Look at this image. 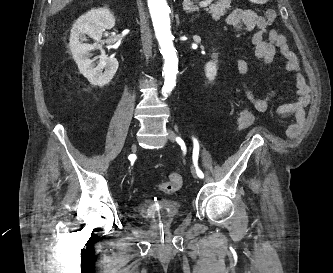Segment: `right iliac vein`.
<instances>
[{"label":"right iliac vein","mask_w":333,"mask_h":273,"mask_svg":"<svg viewBox=\"0 0 333 273\" xmlns=\"http://www.w3.org/2000/svg\"><path fill=\"white\" fill-rule=\"evenodd\" d=\"M136 148V146L135 145H132V149H135Z\"/></svg>","instance_id":"1"}]
</instances>
